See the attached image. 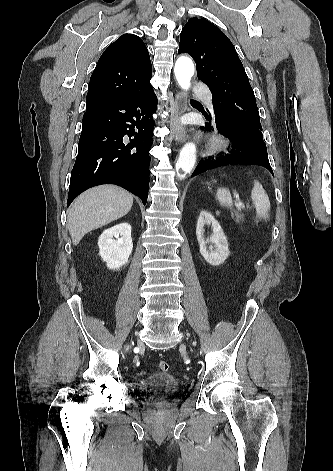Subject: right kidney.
I'll return each mask as SVG.
<instances>
[{
    "label": "right kidney",
    "instance_id": "ca27d5eb",
    "mask_svg": "<svg viewBox=\"0 0 333 471\" xmlns=\"http://www.w3.org/2000/svg\"><path fill=\"white\" fill-rule=\"evenodd\" d=\"M99 254L109 269H119L132 253L131 226L127 222L106 229L98 239Z\"/></svg>",
    "mask_w": 333,
    "mask_h": 471
}]
</instances>
